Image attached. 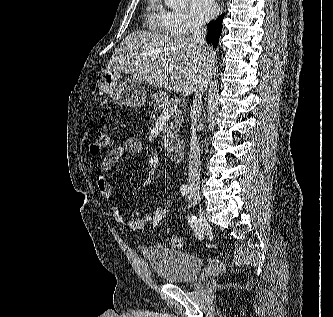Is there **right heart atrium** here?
I'll use <instances>...</instances> for the list:
<instances>
[{
	"label": "right heart atrium",
	"instance_id": "1",
	"mask_svg": "<svg viewBox=\"0 0 333 317\" xmlns=\"http://www.w3.org/2000/svg\"><path fill=\"white\" fill-rule=\"evenodd\" d=\"M164 24L168 32L183 35L195 30L198 24L184 11H166Z\"/></svg>",
	"mask_w": 333,
	"mask_h": 317
}]
</instances>
